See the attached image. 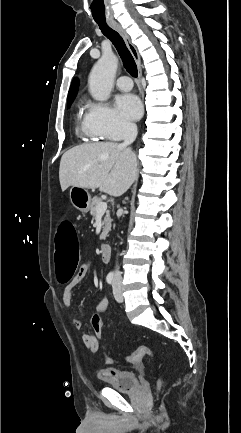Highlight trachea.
<instances>
[{"mask_svg": "<svg viewBox=\"0 0 241 433\" xmlns=\"http://www.w3.org/2000/svg\"><path fill=\"white\" fill-rule=\"evenodd\" d=\"M93 8V22L96 24V26H99L102 33L113 43L115 48L117 49L123 65L128 73H130L133 77L138 76V70L137 65L135 63V60L128 50V48L125 45V42L123 38L120 36V34L113 30L111 27L108 26L105 19V8L106 5L103 2H95L92 5Z\"/></svg>", "mask_w": 241, "mask_h": 433, "instance_id": "obj_1", "label": "trachea"}]
</instances>
